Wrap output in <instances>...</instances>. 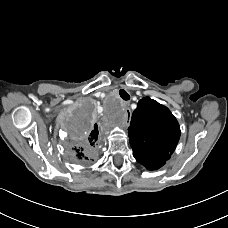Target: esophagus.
<instances>
[{
    "mask_svg": "<svg viewBox=\"0 0 228 228\" xmlns=\"http://www.w3.org/2000/svg\"><path fill=\"white\" fill-rule=\"evenodd\" d=\"M124 108L126 109V110H129V108H128V106H127V103H124Z\"/></svg>",
    "mask_w": 228,
    "mask_h": 228,
    "instance_id": "34e87169",
    "label": "esophagus"
}]
</instances>
